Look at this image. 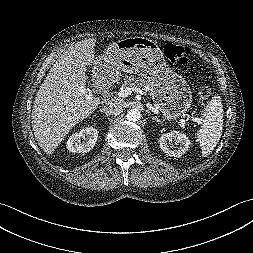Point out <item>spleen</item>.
<instances>
[{
	"instance_id": "3e777b00",
	"label": "spleen",
	"mask_w": 253,
	"mask_h": 253,
	"mask_svg": "<svg viewBox=\"0 0 253 253\" xmlns=\"http://www.w3.org/2000/svg\"><path fill=\"white\" fill-rule=\"evenodd\" d=\"M223 130V105L221 97L215 95L203 114V123L197 132L202 156L207 157L218 144Z\"/></svg>"
}]
</instances>
